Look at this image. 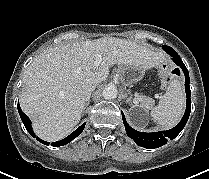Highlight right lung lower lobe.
<instances>
[{"label":"right lung lower lobe","instance_id":"98d812e1","mask_svg":"<svg viewBox=\"0 0 209 179\" xmlns=\"http://www.w3.org/2000/svg\"><path fill=\"white\" fill-rule=\"evenodd\" d=\"M18 107V112H19V115L21 117V120L26 128V130L33 136L35 137L39 142L45 144V145H49L50 143L49 142H46V141H43L41 140L39 137H36L33 130H32V127H31V121L30 119L28 118L27 115H25L20 106H19V103L17 105ZM85 127V123L82 124L80 127H78L73 133H71L69 136H67L66 138L60 140V141H56V142H53L51 143L52 146L54 147H57V146H63L65 144H68L69 142H71L74 138H76L77 136H79L81 134V132L83 131Z\"/></svg>","mask_w":209,"mask_h":179}]
</instances>
